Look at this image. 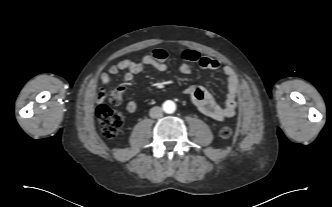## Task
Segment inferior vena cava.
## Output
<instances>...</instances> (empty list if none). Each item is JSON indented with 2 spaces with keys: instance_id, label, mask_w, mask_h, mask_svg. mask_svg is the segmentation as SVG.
Wrapping results in <instances>:
<instances>
[{
  "instance_id": "602c4592",
  "label": "inferior vena cava",
  "mask_w": 332,
  "mask_h": 207,
  "mask_svg": "<svg viewBox=\"0 0 332 207\" xmlns=\"http://www.w3.org/2000/svg\"><path fill=\"white\" fill-rule=\"evenodd\" d=\"M162 113H163V110L162 108L158 107V106H155L153 108L150 109V117L151 118H159L162 116Z\"/></svg>"
}]
</instances>
